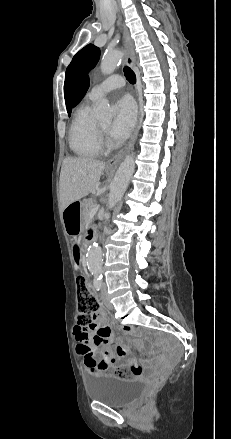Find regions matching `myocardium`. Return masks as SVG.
I'll use <instances>...</instances> for the list:
<instances>
[{
	"label": "myocardium",
	"mask_w": 231,
	"mask_h": 439,
	"mask_svg": "<svg viewBox=\"0 0 231 439\" xmlns=\"http://www.w3.org/2000/svg\"><path fill=\"white\" fill-rule=\"evenodd\" d=\"M98 131H99L101 144H108V141L106 139V130H104L101 126L98 125Z\"/></svg>",
	"instance_id": "obj_1"
}]
</instances>
